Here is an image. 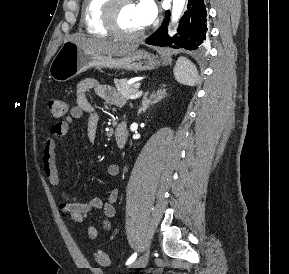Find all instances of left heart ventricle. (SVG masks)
Segmentation results:
<instances>
[{"label":"left heart ventricle","instance_id":"b2bd125f","mask_svg":"<svg viewBox=\"0 0 289 274\" xmlns=\"http://www.w3.org/2000/svg\"><path fill=\"white\" fill-rule=\"evenodd\" d=\"M118 24L120 29L127 33L138 32L144 28L134 3L124 4L120 7L118 12Z\"/></svg>","mask_w":289,"mask_h":274}]
</instances>
